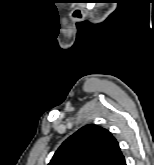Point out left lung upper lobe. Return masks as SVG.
I'll use <instances>...</instances> for the list:
<instances>
[{
  "label": "left lung upper lobe",
  "mask_w": 154,
  "mask_h": 165,
  "mask_svg": "<svg viewBox=\"0 0 154 165\" xmlns=\"http://www.w3.org/2000/svg\"><path fill=\"white\" fill-rule=\"evenodd\" d=\"M122 158L111 133L90 124L65 140L48 165H117Z\"/></svg>",
  "instance_id": "left-lung-upper-lobe-1"
}]
</instances>
